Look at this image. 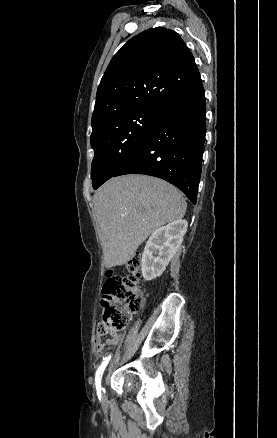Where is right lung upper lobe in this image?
Returning <instances> with one entry per match:
<instances>
[{"mask_svg": "<svg viewBox=\"0 0 277 438\" xmlns=\"http://www.w3.org/2000/svg\"><path fill=\"white\" fill-rule=\"evenodd\" d=\"M165 64L172 65L163 70ZM201 80L190 50L166 28L130 39L112 58L98 86L92 125L108 117L161 109L173 95Z\"/></svg>", "mask_w": 277, "mask_h": 438, "instance_id": "cb5924a9", "label": "right lung upper lobe"}]
</instances>
